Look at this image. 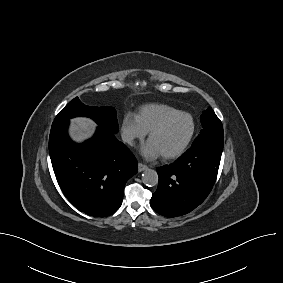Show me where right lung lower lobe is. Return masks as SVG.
<instances>
[{
    "label": "right lung lower lobe",
    "mask_w": 283,
    "mask_h": 283,
    "mask_svg": "<svg viewBox=\"0 0 283 283\" xmlns=\"http://www.w3.org/2000/svg\"><path fill=\"white\" fill-rule=\"evenodd\" d=\"M69 120H54L49 154L65 197L90 216L105 217L122 204L126 181L137 171V161L114 133L101 127L82 144L70 140Z\"/></svg>",
    "instance_id": "1"
}]
</instances>
